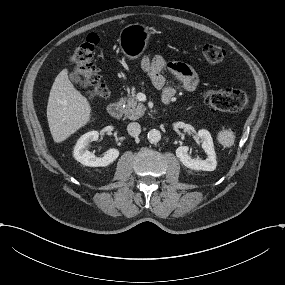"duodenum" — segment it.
<instances>
[{
	"instance_id": "410a0bca",
	"label": "duodenum",
	"mask_w": 285,
	"mask_h": 285,
	"mask_svg": "<svg viewBox=\"0 0 285 285\" xmlns=\"http://www.w3.org/2000/svg\"><path fill=\"white\" fill-rule=\"evenodd\" d=\"M171 98H172L171 93L165 94L163 96V101L165 103V107H167ZM108 113L112 118H115V119L120 118L122 115V105L120 104V102L116 101V102H113L112 104H110L108 107Z\"/></svg>"
}]
</instances>
